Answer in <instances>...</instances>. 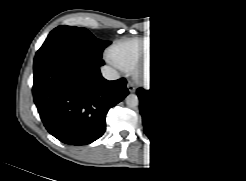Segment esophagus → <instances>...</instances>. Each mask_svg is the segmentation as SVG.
I'll return each mask as SVG.
<instances>
[{"instance_id":"1","label":"esophagus","mask_w":246,"mask_h":181,"mask_svg":"<svg viewBox=\"0 0 246 181\" xmlns=\"http://www.w3.org/2000/svg\"><path fill=\"white\" fill-rule=\"evenodd\" d=\"M130 88H132L131 91H134V89H135V88H133L132 86H130Z\"/></svg>"}]
</instances>
